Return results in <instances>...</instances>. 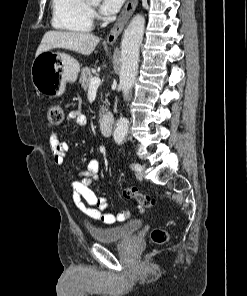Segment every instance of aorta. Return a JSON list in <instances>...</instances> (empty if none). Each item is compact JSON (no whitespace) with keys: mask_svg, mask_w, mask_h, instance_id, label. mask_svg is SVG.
I'll list each match as a JSON object with an SVG mask.
<instances>
[{"mask_svg":"<svg viewBox=\"0 0 247 296\" xmlns=\"http://www.w3.org/2000/svg\"><path fill=\"white\" fill-rule=\"evenodd\" d=\"M99 2L100 0H93ZM145 19L141 14L135 15L126 28L121 42V69L119 86L125 100L130 98L131 89L138 71L139 48L143 40ZM128 132V121L118 119L113 137L117 144H122Z\"/></svg>","mask_w":247,"mask_h":296,"instance_id":"aorta-1","label":"aorta"}]
</instances>
